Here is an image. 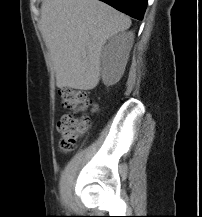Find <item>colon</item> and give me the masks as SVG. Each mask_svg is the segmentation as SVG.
I'll use <instances>...</instances> for the list:
<instances>
[{"mask_svg": "<svg viewBox=\"0 0 202 217\" xmlns=\"http://www.w3.org/2000/svg\"><path fill=\"white\" fill-rule=\"evenodd\" d=\"M61 98L66 112L57 124L60 133L59 148L62 152L69 153L75 149L78 140L86 133L89 126V118L77 117L74 110L90 106L92 99L86 92L75 89H63Z\"/></svg>", "mask_w": 202, "mask_h": 217, "instance_id": "obj_1", "label": "colon"}]
</instances>
